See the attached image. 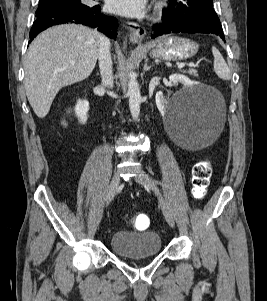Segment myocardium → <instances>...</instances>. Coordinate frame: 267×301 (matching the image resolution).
<instances>
[{"label":"myocardium","instance_id":"1","mask_svg":"<svg viewBox=\"0 0 267 301\" xmlns=\"http://www.w3.org/2000/svg\"><path fill=\"white\" fill-rule=\"evenodd\" d=\"M166 4L163 1H159L155 6V12L161 14L165 8Z\"/></svg>","mask_w":267,"mask_h":301}]
</instances>
